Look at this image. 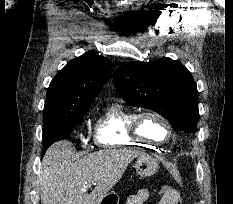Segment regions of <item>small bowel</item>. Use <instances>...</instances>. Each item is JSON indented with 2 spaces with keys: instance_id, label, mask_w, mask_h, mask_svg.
<instances>
[{
  "instance_id": "c3829d8e",
  "label": "small bowel",
  "mask_w": 233,
  "mask_h": 204,
  "mask_svg": "<svg viewBox=\"0 0 233 204\" xmlns=\"http://www.w3.org/2000/svg\"><path fill=\"white\" fill-rule=\"evenodd\" d=\"M149 197L147 189H140L137 193L131 195L126 204H144Z\"/></svg>"
}]
</instances>
